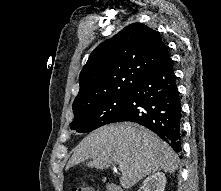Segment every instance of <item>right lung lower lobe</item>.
<instances>
[{
    "label": "right lung lower lobe",
    "instance_id": "obj_1",
    "mask_svg": "<svg viewBox=\"0 0 221 191\" xmlns=\"http://www.w3.org/2000/svg\"><path fill=\"white\" fill-rule=\"evenodd\" d=\"M172 63L170 56L166 57L134 87L125 112L116 122L139 123L180 152L181 102Z\"/></svg>",
    "mask_w": 221,
    "mask_h": 191
}]
</instances>
